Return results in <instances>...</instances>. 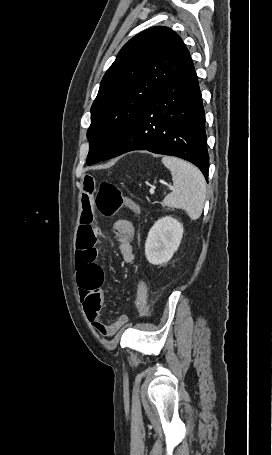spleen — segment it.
I'll return each instance as SVG.
<instances>
[{
    "label": "spleen",
    "mask_w": 272,
    "mask_h": 455,
    "mask_svg": "<svg viewBox=\"0 0 272 455\" xmlns=\"http://www.w3.org/2000/svg\"><path fill=\"white\" fill-rule=\"evenodd\" d=\"M163 164L170 170L174 187L162 201L163 206L185 210L192 220L198 219L206 198V182L201 171L176 157L164 156Z\"/></svg>",
    "instance_id": "3e777b00"
}]
</instances>
